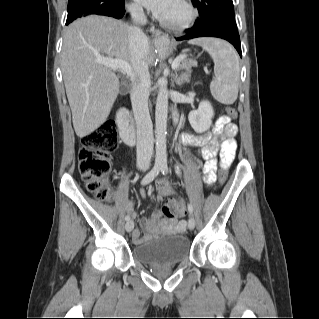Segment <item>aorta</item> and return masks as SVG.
Listing matches in <instances>:
<instances>
[{
  "instance_id": "aorta-1",
  "label": "aorta",
  "mask_w": 319,
  "mask_h": 319,
  "mask_svg": "<svg viewBox=\"0 0 319 319\" xmlns=\"http://www.w3.org/2000/svg\"><path fill=\"white\" fill-rule=\"evenodd\" d=\"M167 79L160 78L157 82L159 92L156 100L155 110V138H156V155L155 164L165 166L167 164L166 153V129L168 115V89Z\"/></svg>"
}]
</instances>
